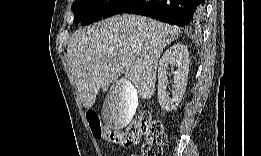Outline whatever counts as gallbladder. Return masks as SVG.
<instances>
[{"mask_svg": "<svg viewBox=\"0 0 261 156\" xmlns=\"http://www.w3.org/2000/svg\"><path fill=\"white\" fill-rule=\"evenodd\" d=\"M130 80L119 79L105 98L102 119L111 129L127 127L131 122L138 106V92L136 85Z\"/></svg>", "mask_w": 261, "mask_h": 156, "instance_id": "1", "label": "gallbladder"}]
</instances>
